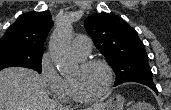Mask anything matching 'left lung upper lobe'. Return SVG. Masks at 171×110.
I'll list each match as a JSON object with an SVG mask.
<instances>
[{
  "label": "left lung upper lobe",
  "mask_w": 171,
  "mask_h": 110,
  "mask_svg": "<svg viewBox=\"0 0 171 110\" xmlns=\"http://www.w3.org/2000/svg\"><path fill=\"white\" fill-rule=\"evenodd\" d=\"M84 26L113 68L115 86L124 82L153 83L144 44L122 18L105 12L96 13L84 21Z\"/></svg>",
  "instance_id": "1"
}]
</instances>
